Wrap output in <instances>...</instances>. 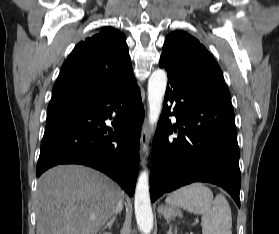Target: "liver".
<instances>
[{
    "label": "liver",
    "mask_w": 279,
    "mask_h": 234,
    "mask_svg": "<svg viewBox=\"0 0 279 234\" xmlns=\"http://www.w3.org/2000/svg\"><path fill=\"white\" fill-rule=\"evenodd\" d=\"M123 192L102 173L78 165L45 172L36 191V234H97Z\"/></svg>",
    "instance_id": "liver-1"
}]
</instances>
